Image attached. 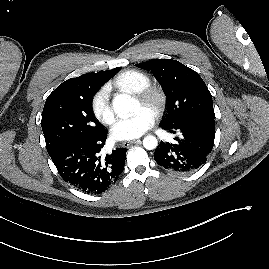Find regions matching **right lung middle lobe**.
Returning a JSON list of instances; mask_svg holds the SVG:
<instances>
[{"label":"right lung middle lobe","mask_w":269,"mask_h":269,"mask_svg":"<svg viewBox=\"0 0 269 269\" xmlns=\"http://www.w3.org/2000/svg\"><path fill=\"white\" fill-rule=\"evenodd\" d=\"M104 83L99 81L55 89L48 96L41 126L49 154L67 142L88 138L105 129L97 122L92 110L93 96Z\"/></svg>","instance_id":"right-lung-middle-lobe-1"}]
</instances>
